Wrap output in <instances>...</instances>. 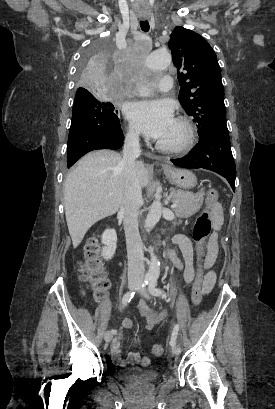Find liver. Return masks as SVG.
<instances>
[{
	"instance_id": "liver-1",
	"label": "liver",
	"mask_w": 275,
	"mask_h": 409,
	"mask_svg": "<svg viewBox=\"0 0 275 409\" xmlns=\"http://www.w3.org/2000/svg\"><path fill=\"white\" fill-rule=\"evenodd\" d=\"M136 168L141 186H146L148 168L142 160H136ZM124 188V164L119 152L95 150L78 160L64 184L65 215L74 249L94 223L117 213Z\"/></svg>"
}]
</instances>
